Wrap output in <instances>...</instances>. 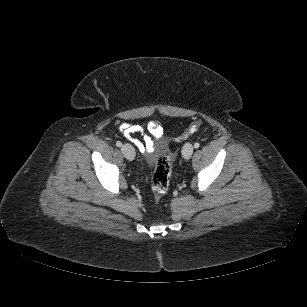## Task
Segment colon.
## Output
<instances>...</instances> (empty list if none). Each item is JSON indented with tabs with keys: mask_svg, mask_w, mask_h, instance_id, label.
<instances>
[{
	"mask_svg": "<svg viewBox=\"0 0 307 307\" xmlns=\"http://www.w3.org/2000/svg\"><path fill=\"white\" fill-rule=\"evenodd\" d=\"M201 126V121L192 122L182 135L181 139L187 138L195 133ZM172 173V156L168 152L161 153L155 163L151 183L155 194V201L158 202L160 197L165 194L170 185Z\"/></svg>",
	"mask_w": 307,
	"mask_h": 307,
	"instance_id": "colon-1",
	"label": "colon"
}]
</instances>
